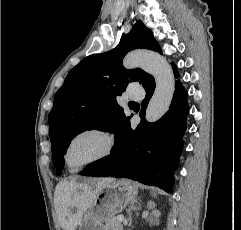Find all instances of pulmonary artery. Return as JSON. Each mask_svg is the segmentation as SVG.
Instances as JSON below:
<instances>
[{"label":"pulmonary artery","instance_id":"obj_1","mask_svg":"<svg viewBox=\"0 0 241 230\" xmlns=\"http://www.w3.org/2000/svg\"><path fill=\"white\" fill-rule=\"evenodd\" d=\"M143 94H144L143 89L136 84H132L128 87L127 98L129 100H133V101L139 100L143 97Z\"/></svg>","mask_w":241,"mask_h":230}]
</instances>
